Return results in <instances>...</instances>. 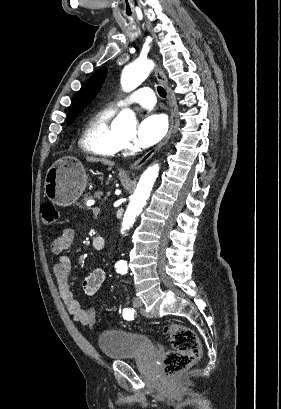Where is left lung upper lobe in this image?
Instances as JSON below:
<instances>
[{"label": "left lung upper lobe", "instance_id": "1", "mask_svg": "<svg viewBox=\"0 0 281 409\" xmlns=\"http://www.w3.org/2000/svg\"><path fill=\"white\" fill-rule=\"evenodd\" d=\"M106 74L107 69L105 67L100 68L78 91L68 110L67 125H70L75 120L78 113H80L95 98L105 80Z\"/></svg>", "mask_w": 281, "mask_h": 409}]
</instances>
